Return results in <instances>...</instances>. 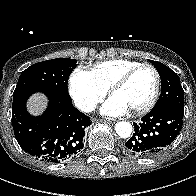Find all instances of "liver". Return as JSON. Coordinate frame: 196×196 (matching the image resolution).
I'll return each instance as SVG.
<instances>
[{
	"mask_svg": "<svg viewBox=\"0 0 196 196\" xmlns=\"http://www.w3.org/2000/svg\"><path fill=\"white\" fill-rule=\"evenodd\" d=\"M46 97L43 94H35L29 101V110L33 114L42 112L46 105Z\"/></svg>",
	"mask_w": 196,
	"mask_h": 196,
	"instance_id": "obj_1",
	"label": "liver"
}]
</instances>
